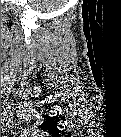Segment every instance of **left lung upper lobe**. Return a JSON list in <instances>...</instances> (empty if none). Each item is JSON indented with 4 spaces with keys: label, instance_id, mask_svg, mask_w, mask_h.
Wrapping results in <instances>:
<instances>
[{
    "label": "left lung upper lobe",
    "instance_id": "1",
    "mask_svg": "<svg viewBox=\"0 0 121 137\" xmlns=\"http://www.w3.org/2000/svg\"><path fill=\"white\" fill-rule=\"evenodd\" d=\"M45 121L41 126H38L39 128L53 134L57 132L56 123L53 120V118L49 116H44Z\"/></svg>",
    "mask_w": 121,
    "mask_h": 137
}]
</instances>
